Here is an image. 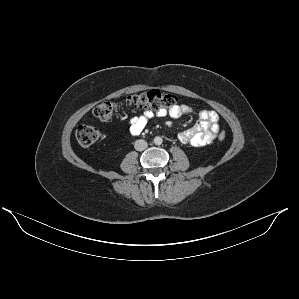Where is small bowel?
Listing matches in <instances>:
<instances>
[{
    "mask_svg": "<svg viewBox=\"0 0 299 299\" xmlns=\"http://www.w3.org/2000/svg\"><path fill=\"white\" fill-rule=\"evenodd\" d=\"M198 116V122L191 128L182 131L178 139L183 144L193 147H201L210 144L219 132V115L212 110L196 111L193 107L182 104L171 108L169 111L146 110L143 113L133 116L125 121L129 132L133 135L140 134L148 122L155 117L169 115L172 118H179L182 115L194 114Z\"/></svg>",
    "mask_w": 299,
    "mask_h": 299,
    "instance_id": "small-bowel-1",
    "label": "small bowel"
}]
</instances>
